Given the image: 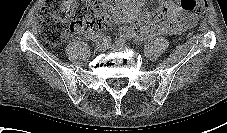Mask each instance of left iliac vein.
<instances>
[{"label": "left iliac vein", "mask_w": 227, "mask_h": 133, "mask_svg": "<svg viewBox=\"0 0 227 133\" xmlns=\"http://www.w3.org/2000/svg\"><path fill=\"white\" fill-rule=\"evenodd\" d=\"M109 48L116 51H122L126 49L127 46L125 44H116V45H110Z\"/></svg>", "instance_id": "left-iliac-vein-1"}]
</instances>
